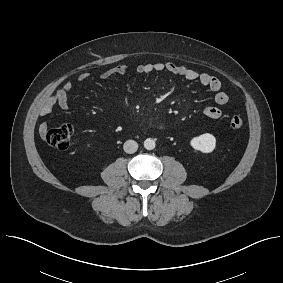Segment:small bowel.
<instances>
[{
  "label": "small bowel",
  "instance_id": "c3829d8e",
  "mask_svg": "<svg viewBox=\"0 0 283 283\" xmlns=\"http://www.w3.org/2000/svg\"><path fill=\"white\" fill-rule=\"evenodd\" d=\"M130 67L126 64H121L110 68L101 73V79H109L116 75L127 74ZM140 74H149L154 72H167L176 76H179L188 81L198 82L202 86L207 87L209 90L215 92L214 101L216 105H209L205 107L204 114L210 119H219L222 116L221 107L226 105L229 101V96L226 92L221 91V81L213 75L207 73H200L184 65H178L172 62H156V63H144L140 64L136 68ZM88 73H81L78 76L79 82H84L88 79ZM73 89L71 81H66L60 86L53 94H51L44 104L40 107L38 114L40 117H45L50 114L53 108L58 105L62 109H68L70 106L69 94ZM39 131L44 135L47 131V124L45 122L40 123Z\"/></svg>",
  "mask_w": 283,
  "mask_h": 283
}]
</instances>
